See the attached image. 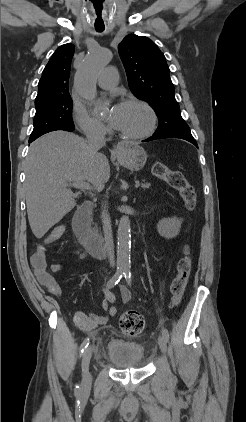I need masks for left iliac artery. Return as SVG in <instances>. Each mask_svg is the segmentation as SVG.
Here are the masks:
<instances>
[{"label": "left iliac artery", "mask_w": 246, "mask_h": 422, "mask_svg": "<svg viewBox=\"0 0 246 422\" xmlns=\"http://www.w3.org/2000/svg\"><path fill=\"white\" fill-rule=\"evenodd\" d=\"M124 277H125V279L127 281V284L129 286H131V272H130L129 269H125V271H124ZM162 335L165 337L166 340L169 339V333H168V330L166 328H163Z\"/></svg>", "instance_id": "left-iliac-artery-1"}]
</instances>
